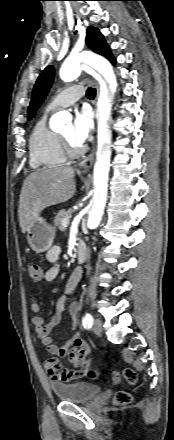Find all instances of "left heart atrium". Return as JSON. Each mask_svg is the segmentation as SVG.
<instances>
[{
  "mask_svg": "<svg viewBox=\"0 0 174 440\" xmlns=\"http://www.w3.org/2000/svg\"><path fill=\"white\" fill-rule=\"evenodd\" d=\"M93 127L92 114L88 108H81L75 112L74 121L70 129V139L81 147L88 138Z\"/></svg>",
  "mask_w": 174,
  "mask_h": 440,
  "instance_id": "39dd6f15",
  "label": "left heart atrium"
}]
</instances>
